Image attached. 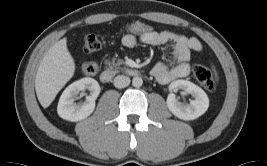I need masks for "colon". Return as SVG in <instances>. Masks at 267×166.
<instances>
[{
	"label": "colon",
	"instance_id": "1",
	"mask_svg": "<svg viewBox=\"0 0 267 166\" xmlns=\"http://www.w3.org/2000/svg\"><path fill=\"white\" fill-rule=\"evenodd\" d=\"M127 30L132 33L142 34L151 31V27L146 24L136 22L128 25ZM103 45V40L98 35L88 34L84 37L83 48L88 53L99 51L102 49ZM81 69L83 74L93 75L97 72L98 67L94 62H86L82 65ZM191 71L195 79L207 90L211 92L216 90V81L212 73L206 67L200 64H194L191 67Z\"/></svg>",
	"mask_w": 267,
	"mask_h": 166
}]
</instances>
